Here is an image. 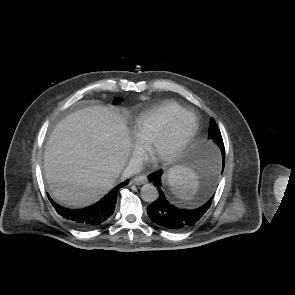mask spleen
I'll return each mask as SVG.
<instances>
[{
    "instance_id": "obj_1",
    "label": "spleen",
    "mask_w": 295,
    "mask_h": 295,
    "mask_svg": "<svg viewBox=\"0 0 295 295\" xmlns=\"http://www.w3.org/2000/svg\"><path fill=\"white\" fill-rule=\"evenodd\" d=\"M198 178L192 169L177 166L170 170L168 182L178 198L190 200L199 187Z\"/></svg>"
}]
</instances>
